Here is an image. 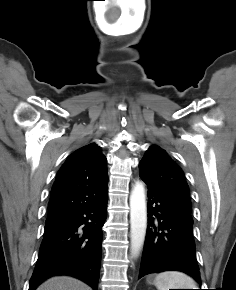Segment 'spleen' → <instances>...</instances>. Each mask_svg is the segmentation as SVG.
<instances>
[{"label":"spleen","instance_id":"obj_1","mask_svg":"<svg viewBox=\"0 0 236 290\" xmlns=\"http://www.w3.org/2000/svg\"><path fill=\"white\" fill-rule=\"evenodd\" d=\"M154 284L158 290L195 289L191 277L179 271H164L156 275Z\"/></svg>","mask_w":236,"mask_h":290}]
</instances>
